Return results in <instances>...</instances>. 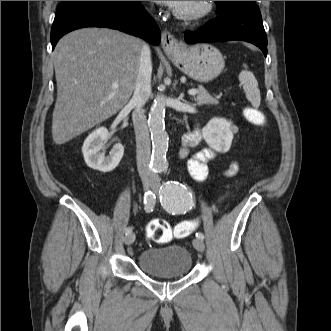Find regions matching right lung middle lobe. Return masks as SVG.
<instances>
[{"mask_svg": "<svg viewBox=\"0 0 331 331\" xmlns=\"http://www.w3.org/2000/svg\"><path fill=\"white\" fill-rule=\"evenodd\" d=\"M67 2H72V1H62V3H67Z\"/></svg>", "mask_w": 331, "mask_h": 331, "instance_id": "right-lung-middle-lobe-1", "label": "right lung middle lobe"}]
</instances>
